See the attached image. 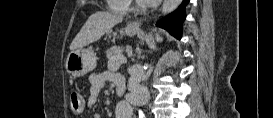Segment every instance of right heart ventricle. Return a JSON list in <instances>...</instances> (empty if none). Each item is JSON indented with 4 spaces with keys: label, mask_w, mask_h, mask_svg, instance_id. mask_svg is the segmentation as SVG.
Returning a JSON list of instances; mask_svg holds the SVG:
<instances>
[{
    "label": "right heart ventricle",
    "mask_w": 273,
    "mask_h": 118,
    "mask_svg": "<svg viewBox=\"0 0 273 118\" xmlns=\"http://www.w3.org/2000/svg\"><path fill=\"white\" fill-rule=\"evenodd\" d=\"M111 8L115 12L123 13L128 9V1L124 0H110Z\"/></svg>",
    "instance_id": "e07e8e85"
}]
</instances>
